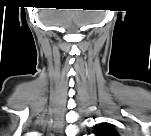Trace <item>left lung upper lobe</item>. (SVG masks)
<instances>
[{
	"instance_id": "obj_1",
	"label": "left lung upper lobe",
	"mask_w": 151,
	"mask_h": 136,
	"mask_svg": "<svg viewBox=\"0 0 151 136\" xmlns=\"http://www.w3.org/2000/svg\"><path fill=\"white\" fill-rule=\"evenodd\" d=\"M97 136H116L117 133L113 129V126L109 123H102L101 126L97 127L95 130Z\"/></svg>"
}]
</instances>
